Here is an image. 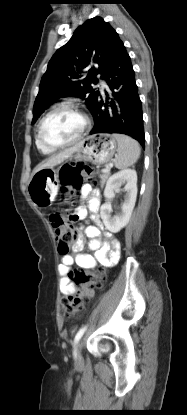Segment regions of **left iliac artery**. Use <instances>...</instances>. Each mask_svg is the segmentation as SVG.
I'll return each mask as SVG.
<instances>
[{"label":"left iliac artery","mask_w":187,"mask_h":415,"mask_svg":"<svg viewBox=\"0 0 187 415\" xmlns=\"http://www.w3.org/2000/svg\"><path fill=\"white\" fill-rule=\"evenodd\" d=\"M86 326L82 327L76 334L75 339H74V345H76L78 343V341L81 339V337L83 336L85 330H86Z\"/></svg>","instance_id":"left-iliac-artery-1"}]
</instances>
